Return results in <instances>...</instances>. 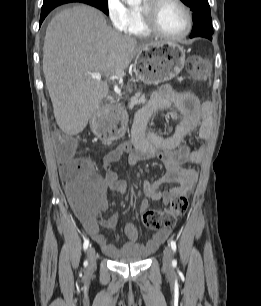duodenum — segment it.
<instances>
[{"instance_id":"obj_1","label":"duodenum","mask_w":261,"mask_h":306,"mask_svg":"<svg viewBox=\"0 0 261 306\" xmlns=\"http://www.w3.org/2000/svg\"><path fill=\"white\" fill-rule=\"evenodd\" d=\"M108 100L111 102L113 100V96L112 95H109L108 96Z\"/></svg>"}]
</instances>
